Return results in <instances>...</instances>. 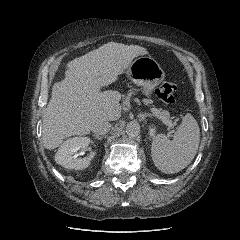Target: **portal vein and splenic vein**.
<instances>
[{
    "instance_id": "portal-vein-and-splenic-vein-1",
    "label": "portal vein and splenic vein",
    "mask_w": 240,
    "mask_h": 240,
    "mask_svg": "<svg viewBox=\"0 0 240 240\" xmlns=\"http://www.w3.org/2000/svg\"><path fill=\"white\" fill-rule=\"evenodd\" d=\"M151 111H152V113H153L154 115H157V111H156L155 109H152ZM162 121H163L166 125H168L169 129H172V128H173V124H172L171 121H167V120H162ZM170 133H172V131H170Z\"/></svg>"
}]
</instances>
